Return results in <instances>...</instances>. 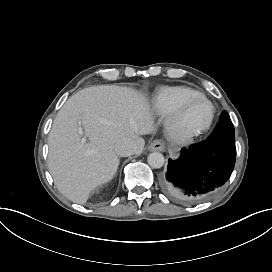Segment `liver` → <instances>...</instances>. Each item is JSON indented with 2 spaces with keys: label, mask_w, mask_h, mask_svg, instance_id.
Segmentation results:
<instances>
[{
  "label": "liver",
  "mask_w": 272,
  "mask_h": 272,
  "mask_svg": "<svg viewBox=\"0 0 272 272\" xmlns=\"http://www.w3.org/2000/svg\"><path fill=\"white\" fill-rule=\"evenodd\" d=\"M151 131L145 101L134 91L101 85L77 92L57 113L48 138V165L55 185L74 203L85 204L117 174L120 157L115 143L130 137L141 152V135Z\"/></svg>",
  "instance_id": "1"
}]
</instances>
